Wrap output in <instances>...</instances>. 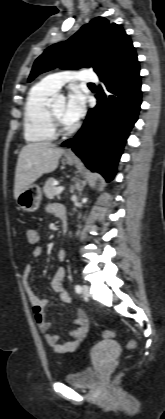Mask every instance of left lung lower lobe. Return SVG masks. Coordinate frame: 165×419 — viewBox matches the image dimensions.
<instances>
[{
    "label": "left lung lower lobe",
    "instance_id": "0a47b994",
    "mask_svg": "<svg viewBox=\"0 0 165 419\" xmlns=\"http://www.w3.org/2000/svg\"><path fill=\"white\" fill-rule=\"evenodd\" d=\"M140 67L135 48L105 73L99 75L104 88L96 95L97 105L89 109L77 135L63 142L93 171L107 181L116 166L141 105Z\"/></svg>",
    "mask_w": 165,
    "mask_h": 419
}]
</instances>
